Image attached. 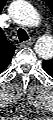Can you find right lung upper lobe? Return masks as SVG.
<instances>
[{"mask_svg": "<svg viewBox=\"0 0 53 120\" xmlns=\"http://www.w3.org/2000/svg\"><path fill=\"white\" fill-rule=\"evenodd\" d=\"M15 49L16 48L7 41V43H6V49H5V51H6L5 54H7L6 56L8 58L7 60H9L12 57Z\"/></svg>", "mask_w": 53, "mask_h": 120, "instance_id": "obj_1", "label": "right lung upper lobe"}]
</instances>
